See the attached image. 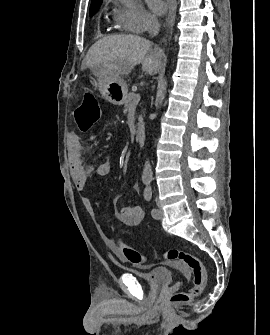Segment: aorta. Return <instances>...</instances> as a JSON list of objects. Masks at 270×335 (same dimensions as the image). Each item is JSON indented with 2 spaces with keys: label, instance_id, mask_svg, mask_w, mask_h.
Listing matches in <instances>:
<instances>
[{
  "label": "aorta",
  "instance_id": "762f6f07",
  "mask_svg": "<svg viewBox=\"0 0 270 335\" xmlns=\"http://www.w3.org/2000/svg\"><path fill=\"white\" fill-rule=\"evenodd\" d=\"M167 90V82L164 78V80H159L158 88H157V94H156V104L158 108L162 106V102L165 98ZM142 179H149V181H152L153 179V171L150 166V162H145L144 168L142 171Z\"/></svg>",
  "mask_w": 270,
  "mask_h": 335
}]
</instances>
